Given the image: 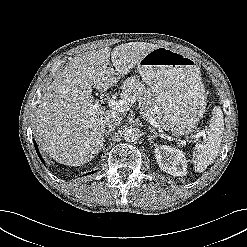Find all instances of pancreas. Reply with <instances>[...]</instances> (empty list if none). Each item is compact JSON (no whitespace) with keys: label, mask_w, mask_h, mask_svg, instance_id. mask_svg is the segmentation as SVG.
<instances>
[{"label":"pancreas","mask_w":247,"mask_h":247,"mask_svg":"<svg viewBox=\"0 0 247 247\" xmlns=\"http://www.w3.org/2000/svg\"><path fill=\"white\" fill-rule=\"evenodd\" d=\"M122 98L125 96H135L143 116L153 117L162 127L167 126V120L162 117L163 113L158 107L153 94L144 84L136 79L127 80L122 86Z\"/></svg>","instance_id":"cf45deb5"}]
</instances>
